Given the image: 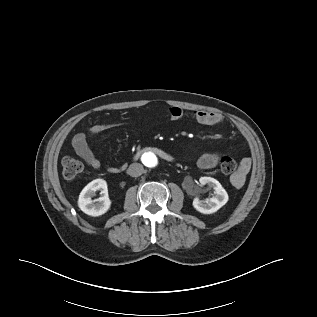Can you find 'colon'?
<instances>
[{"label": "colon", "instance_id": "1", "mask_svg": "<svg viewBox=\"0 0 317 317\" xmlns=\"http://www.w3.org/2000/svg\"><path fill=\"white\" fill-rule=\"evenodd\" d=\"M62 174L66 179H73L83 170V164L80 160L66 156L62 159ZM220 170L225 175L234 174L239 170L238 162L229 156H223L219 161Z\"/></svg>", "mask_w": 317, "mask_h": 317}]
</instances>
